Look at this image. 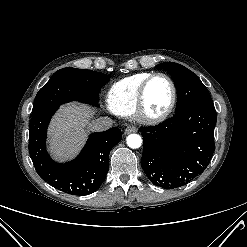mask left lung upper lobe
I'll list each match as a JSON object with an SVG mask.
<instances>
[{"mask_svg":"<svg viewBox=\"0 0 247 247\" xmlns=\"http://www.w3.org/2000/svg\"><path fill=\"white\" fill-rule=\"evenodd\" d=\"M156 67L167 70L175 81L178 92L175 114L194 106L213 104L208 89L198 76L186 67L174 62L161 63Z\"/></svg>","mask_w":247,"mask_h":247,"instance_id":"left-lung-upper-lobe-1","label":"left lung upper lobe"}]
</instances>
